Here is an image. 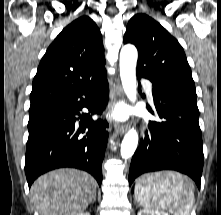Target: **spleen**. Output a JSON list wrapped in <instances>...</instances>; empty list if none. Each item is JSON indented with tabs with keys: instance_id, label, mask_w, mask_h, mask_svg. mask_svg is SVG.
I'll return each instance as SVG.
<instances>
[{
	"instance_id": "3e777b00",
	"label": "spleen",
	"mask_w": 221,
	"mask_h": 215,
	"mask_svg": "<svg viewBox=\"0 0 221 215\" xmlns=\"http://www.w3.org/2000/svg\"><path fill=\"white\" fill-rule=\"evenodd\" d=\"M145 176L137 180L134 190L135 198L142 207L153 211L168 210L174 215H190L194 192L188 178L166 172L154 182L153 178L147 179Z\"/></svg>"
}]
</instances>
